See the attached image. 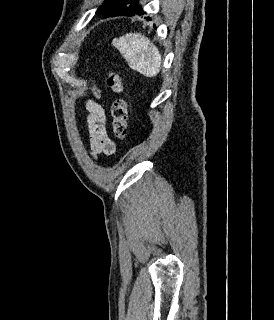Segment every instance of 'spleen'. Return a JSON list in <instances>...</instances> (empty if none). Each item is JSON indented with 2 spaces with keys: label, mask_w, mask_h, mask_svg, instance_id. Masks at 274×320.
I'll return each mask as SVG.
<instances>
[{
  "label": "spleen",
  "mask_w": 274,
  "mask_h": 320,
  "mask_svg": "<svg viewBox=\"0 0 274 320\" xmlns=\"http://www.w3.org/2000/svg\"><path fill=\"white\" fill-rule=\"evenodd\" d=\"M113 46L119 50L131 70H136L146 78H154L159 74L161 54L146 36L126 34L119 40H113Z\"/></svg>",
  "instance_id": "obj_1"
}]
</instances>
